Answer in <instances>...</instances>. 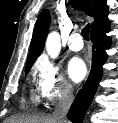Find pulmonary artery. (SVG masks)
I'll use <instances>...</instances> for the list:
<instances>
[{"mask_svg": "<svg viewBox=\"0 0 118 123\" xmlns=\"http://www.w3.org/2000/svg\"><path fill=\"white\" fill-rule=\"evenodd\" d=\"M68 47L72 51H80L83 48V41L79 33H73L68 39Z\"/></svg>", "mask_w": 118, "mask_h": 123, "instance_id": "e3ab8cb5", "label": "pulmonary artery"}]
</instances>
